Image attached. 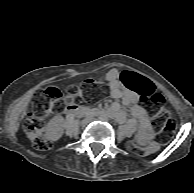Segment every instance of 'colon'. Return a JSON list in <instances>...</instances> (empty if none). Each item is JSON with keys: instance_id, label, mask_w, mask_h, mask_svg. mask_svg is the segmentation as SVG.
<instances>
[{"instance_id": "5ec220e1", "label": "colon", "mask_w": 194, "mask_h": 193, "mask_svg": "<svg viewBox=\"0 0 194 193\" xmlns=\"http://www.w3.org/2000/svg\"><path fill=\"white\" fill-rule=\"evenodd\" d=\"M123 83L138 93V99L145 104L154 119V126L158 129L157 141L148 147H140L134 143L129 144V150L139 156H147L159 149V142L173 136L176 125L168 114V108L164 105L163 96L156 92L153 86L140 75L132 72H124ZM103 93V82L100 78L88 79L79 88V92L73 91L69 100L74 98L86 102H94ZM64 102L62 93L54 87L45 89L41 95L34 113L25 122V132L33 146L41 151L52 147V142L45 134V118L52 112L58 111Z\"/></svg>"}]
</instances>
